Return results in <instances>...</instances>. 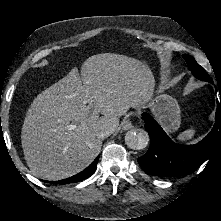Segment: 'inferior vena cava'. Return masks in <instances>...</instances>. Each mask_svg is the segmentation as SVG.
<instances>
[{"label": "inferior vena cava", "instance_id": "1", "mask_svg": "<svg viewBox=\"0 0 221 221\" xmlns=\"http://www.w3.org/2000/svg\"><path fill=\"white\" fill-rule=\"evenodd\" d=\"M114 132V129L112 127H102L98 132H97V137L100 139H103L105 137L110 136Z\"/></svg>", "mask_w": 221, "mask_h": 221}]
</instances>
